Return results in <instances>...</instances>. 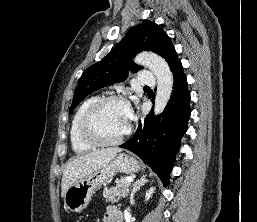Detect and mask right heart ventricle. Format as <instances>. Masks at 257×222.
<instances>
[{
    "label": "right heart ventricle",
    "mask_w": 257,
    "mask_h": 222,
    "mask_svg": "<svg viewBox=\"0 0 257 222\" xmlns=\"http://www.w3.org/2000/svg\"><path fill=\"white\" fill-rule=\"evenodd\" d=\"M99 99L98 96H92L86 99L77 109L75 115L73 116L70 131H69V137H70V143L73 151L75 153H85L94 148L93 145L86 142L81 134H80V124L83 115L88 110V108L97 100Z\"/></svg>",
    "instance_id": "obj_1"
}]
</instances>
